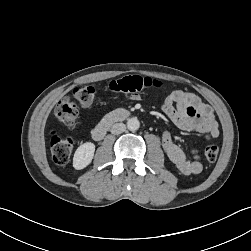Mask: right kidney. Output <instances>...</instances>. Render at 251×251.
<instances>
[{
    "label": "right kidney",
    "mask_w": 251,
    "mask_h": 251,
    "mask_svg": "<svg viewBox=\"0 0 251 251\" xmlns=\"http://www.w3.org/2000/svg\"><path fill=\"white\" fill-rule=\"evenodd\" d=\"M94 152L95 145L93 143L86 142L80 145L75 151L73 157V167L76 170H81L87 167L94 157Z\"/></svg>",
    "instance_id": "right-kidney-1"
}]
</instances>
